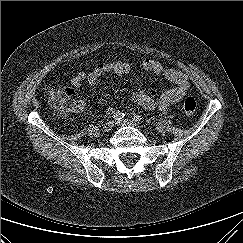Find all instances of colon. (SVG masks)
Returning a JSON list of instances; mask_svg holds the SVG:
<instances>
[{"label": "colon", "instance_id": "obj_1", "mask_svg": "<svg viewBox=\"0 0 243 243\" xmlns=\"http://www.w3.org/2000/svg\"><path fill=\"white\" fill-rule=\"evenodd\" d=\"M46 93L56 115L66 116L74 110L76 101L70 89H65L52 83L46 86ZM196 108L197 102L194 97L186 96L183 99L182 109L187 115H192Z\"/></svg>", "mask_w": 243, "mask_h": 243}]
</instances>
